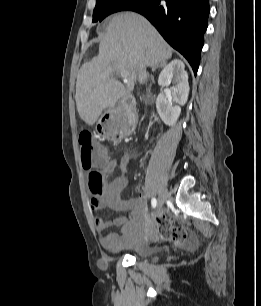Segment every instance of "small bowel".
<instances>
[{"mask_svg": "<svg viewBox=\"0 0 261 306\" xmlns=\"http://www.w3.org/2000/svg\"><path fill=\"white\" fill-rule=\"evenodd\" d=\"M129 160L128 155L118 160L107 158L102 160L103 172L107 179L104 184L103 195L101 198H91L89 203L92 210L109 208L120 213L113 220L103 217L94 218L95 228L99 232L110 226L119 228V232H108L101 237V245L109 251H118L136 245L137 231L143 219L146 199L141 190L138 189L137 196L130 200H124L121 197V191L127 185L126 170ZM118 169L120 173L113 177Z\"/></svg>", "mask_w": 261, "mask_h": 306, "instance_id": "1", "label": "small bowel"}]
</instances>
